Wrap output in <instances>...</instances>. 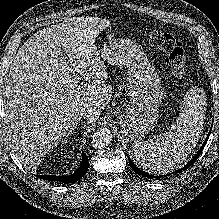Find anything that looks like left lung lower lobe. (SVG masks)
<instances>
[{"mask_svg": "<svg viewBox=\"0 0 219 219\" xmlns=\"http://www.w3.org/2000/svg\"><path fill=\"white\" fill-rule=\"evenodd\" d=\"M210 131H211V130H210ZM209 135H210V132H209V134L207 135V138L205 139V142H204V144L202 145L201 149L197 152L196 156H194L193 159L190 160L182 169H179L178 171H176V173L188 169L192 164L195 163V161L197 160L199 154L201 153V151L203 150L204 146L206 145V143H207V141H208V138H209ZM128 159H129L130 166L132 167V169H133L136 173H138V174H140V175H142L143 177H146V178H156V179H157V178L159 177V176L149 175L148 173H146V172L140 170L138 167H136L135 164H133V162L131 161L130 158H128ZM170 174H171V173H170ZM168 175H169V174H168ZM166 176H167V175H166ZM161 177H163V176H160V178H161Z\"/></svg>", "mask_w": 219, "mask_h": 219, "instance_id": "left-lung-lower-lobe-1", "label": "left lung lower lobe"}]
</instances>
